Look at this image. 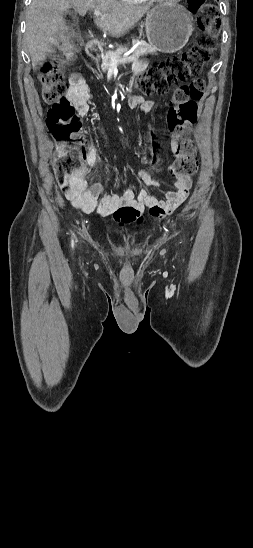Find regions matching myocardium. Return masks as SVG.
<instances>
[{
    "mask_svg": "<svg viewBox=\"0 0 253 548\" xmlns=\"http://www.w3.org/2000/svg\"><path fill=\"white\" fill-rule=\"evenodd\" d=\"M151 1H156V2H165V1H172V0H151Z\"/></svg>",
    "mask_w": 253,
    "mask_h": 548,
    "instance_id": "myocardium-1",
    "label": "myocardium"
}]
</instances>
